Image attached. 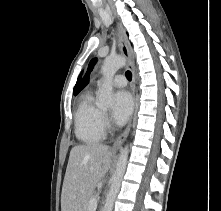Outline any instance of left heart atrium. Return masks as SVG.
I'll list each match as a JSON object with an SVG mask.
<instances>
[{
    "label": "left heart atrium",
    "mask_w": 221,
    "mask_h": 211,
    "mask_svg": "<svg viewBox=\"0 0 221 211\" xmlns=\"http://www.w3.org/2000/svg\"><path fill=\"white\" fill-rule=\"evenodd\" d=\"M133 110V101L131 95L125 91H117L114 95L112 107V116L118 125L124 124L130 117Z\"/></svg>",
    "instance_id": "1"
}]
</instances>
